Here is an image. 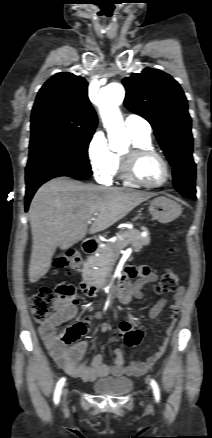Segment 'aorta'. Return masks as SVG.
Returning a JSON list of instances; mask_svg holds the SVG:
<instances>
[{"instance_id":"1","label":"aorta","mask_w":212,"mask_h":438,"mask_svg":"<svg viewBox=\"0 0 212 438\" xmlns=\"http://www.w3.org/2000/svg\"><path fill=\"white\" fill-rule=\"evenodd\" d=\"M125 90L120 83L112 82L100 90L97 105L100 115L107 129L110 148L116 150L126 146L129 136L124 126L119 105L123 102Z\"/></svg>"}]
</instances>
